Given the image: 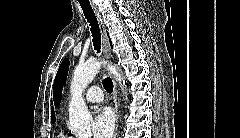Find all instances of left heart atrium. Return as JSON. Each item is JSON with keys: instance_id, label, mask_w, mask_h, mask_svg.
Instances as JSON below:
<instances>
[{"instance_id": "left-heart-atrium-1", "label": "left heart atrium", "mask_w": 240, "mask_h": 138, "mask_svg": "<svg viewBox=\"0 0 240 138\" xmlns=\"http://www.w3.org/2000/svg\"><path fill=\"white\" fill-rule=\"evenodd\" d=\"M114 130V118L111 111L101 108L97 111L92 122V135L94 138H110Z\"/></svg>"}]
</instances>
